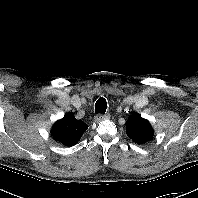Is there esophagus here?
I'll list each match as a JSON object with an SVG mask.
<instances>
[{"label": "esophagus", "mask_w": 198, "mask_h": 198, "mask_svg": "<svg viewBox=\"0 0 198 198\" xmlns=\"http://www.w3.org/2000/svg\"><path fill=\"white\" fill-rule=\"evenodd\" d=\"M110 118V114H98L95 116L96 121L108 120Z\"/></svg>", "instance_id": "obj_1"}]
</instances>
